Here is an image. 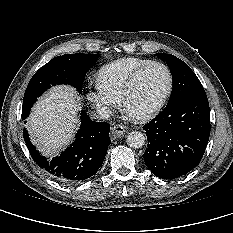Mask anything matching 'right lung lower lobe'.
Here are the masks:
<instances>
[{
	"label": "right lung lower lobe",
	"instance_id": "obj_1",
	"mask_svg": "<svg viewBox=\"0 0 233 233\" xmlns=\"http://www.w3.org/2000/svg\"><path fill=\"white\" fill-rule=\"evenodd\" d=\"M110 127L106 122H94L82 111L81 126L76 139L59 157L47 160L32 145L24 128L23 136L33 160L52 178L64 183H76L93 176L103 163L109 144Z\"/></svg>",
	"mask_w": 233,
	"mask_h": 233
}]
</instances>
